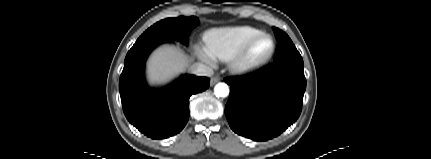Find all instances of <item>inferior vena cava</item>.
I'll list each match as a JSON object with an SVG mask.
<instances>
[{
	"label": "inferior vena cava",
	"instance_id": "602c4592",
	"mask_svg": "<svg viewBox=\"0 0 431 159\" xmlns=\"http://www.w3.org/2000/svg\"><path fill=\"white\" fill-rule=\"evenodd\" d=\"M191 72L197 76H207L211 77L214 72L213 69L202 63H194L191 66Z\"/></svg>",
	"mask_w": 431,
	"mask_h": 159
}]
</instances>
